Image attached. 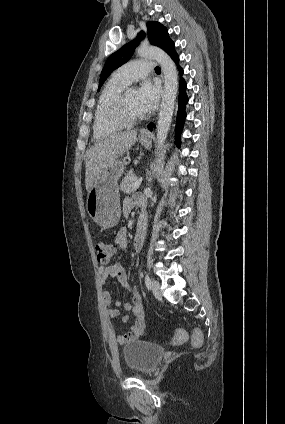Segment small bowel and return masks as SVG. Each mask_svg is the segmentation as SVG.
Listing matches in <instances>:
<instances>
[{
	"instance_id": "obj_1",
	"label": "small bowel",
	"mask_w": 285,
	"mask_h": 424,
	"mask_svg": "<svg viewBox=\"0 0 285 424\" xmlns=\"http://www.w3.org/2000/svg\"><path fill=\"white\" fill-rule=\"evenodd\" d=\"M137 206H143V199L139 196L134 198H127L123 202L122 211L124 216H128L132 208ZM115 245L119 249H125L128 244L126 230L121 228L116 237ZM143 246V238L136 236L134 239V248L136 251H140ZM100 273V285L102 288L105 287L107 282L110 279H117L120 284L132 294L131 302L121 303V301H116L115 306L109 308L112 297L109 291L103 290L101 293V304L106 308V316L108 319L116 318L120 315V307L122 306L126 312H129L133 316V322L130 326V329L125 334H120L115 337V341L119 345L127 344L131 341L137 340L144 332L145 329V319H144V308L142 304V297L136 285H130L128 283L127 274L120 262H115L111 265L102 266L99 269ZM131 319L129 314H126L122 317V321L127 323Z\"/></svg>"
}]
</instances>
